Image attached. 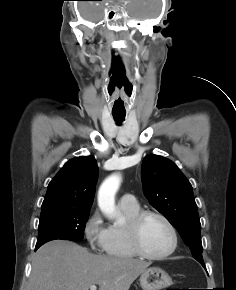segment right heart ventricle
I'll list each match as a JSON object with an SVG mask.
<instances>
[{
	"instance_id": "obj_1",
	"label": "right heart ventricle",
	"mask_w": 236,
	"mask_h": 290,
	"mask_svg": "<svg viewBox=\"0 0 236 290\" xmlns=\"http://www.w3.org/2000/svg\"><path fill=\"white\" fill-rule=\"evenodd\" d=\"M120 210L127 219H131L140 211L139 205L135 207L123 206L120 204ZM127 223L122 226L112 225L107 228V238L103 250L110 257L130 259L136 256L129 242L127 234Z\"/></svg>"
}]
</instances>
